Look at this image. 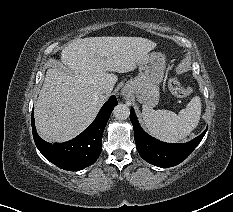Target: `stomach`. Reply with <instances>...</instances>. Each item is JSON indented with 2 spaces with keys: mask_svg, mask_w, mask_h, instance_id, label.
Returning <instances> with one entry per match:
<instances>
[{
  "mask_svg": "<svg viewBox=\"0 0 233 212\" xmlns=\"http://www.w3.org/2000/svg\"><path fill=\"white\" fill-rule=\"evenodd\" d=\"M165 68V56L162 53H147L138 64V76L125 85L124 92L134 94L140 103L150 108L156 106Z\"/></svg>",
  "mask_w": 233,
  "mask_h": 212,
  "instance_id": "stomach-1",
  "label": "stomach"
}]
</instances>
